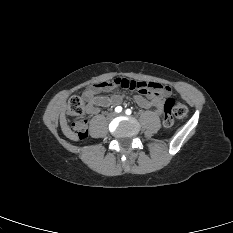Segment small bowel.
I'll return each mask as SVG.
<instances>
[{"label":"small bowel","instance_id":"c3829d8e","mask_svg":"<svg viewBox=\"0 0 233 233\" xmlns=\"http://www.w3.org/2000/svg\"><path fill=\"white\" fill-rule=\"evenodd\" d=\"M106 83L107 82L93 85L83 92V97L87 102V112L90 115L98 114L100 108L122 103L124 93L121 89L118 87H106ZM141 83L145 84L147 87L156 86V89L146 92H136V94L133 95V100L140 107L154 108L158 114H161L163 111V98L170 94V88L153 82Z\"/></svg>","mask_w":233,"mask_h":233}]
</instances>
